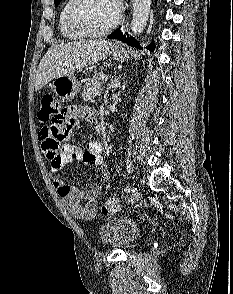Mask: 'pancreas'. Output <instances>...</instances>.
Returning a JSON list of instances; mask_svg holds the SVG:
<instances>
[{"mask_svg":"<svg viewBox=\"0 0 233 294\" xmlns=\"http://www.w3.org/2000/svg\"><path fill=\"white\" fill-rule=\"evenodd\" d=\"M103 76L104 73L95 74L93 78L85 84V87L81 95L83 100L90 101L101 94V80Z\"/></svg>","mask_w":233,"mask_h":294,"instance_id":"cf45deb5","label":"pancreas"}]
</instances>
